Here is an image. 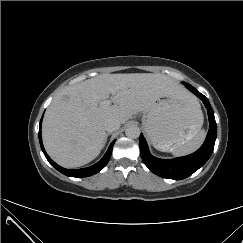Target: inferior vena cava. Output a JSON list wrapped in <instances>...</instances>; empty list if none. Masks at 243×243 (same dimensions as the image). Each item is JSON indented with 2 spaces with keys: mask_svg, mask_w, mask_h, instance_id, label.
I'll use <instances>...</instances> for the list:
<instances>
[{
  "mask_svg": "<svg viewBox=\"0 0 243 243\" xmlns=\"http://www.w3.org/2000/svg\"><path fill=\"white\" fill-rule=\"evenodd\" d=\"M104 126L107 132H114L120 128V122L116 119H107Z\"/></svg>",
  "mask_w": 243,
  "mask_h": 243,
  "instance_id": "obj_1",
  "label": "inferior vena cava"
}]
</instances>
